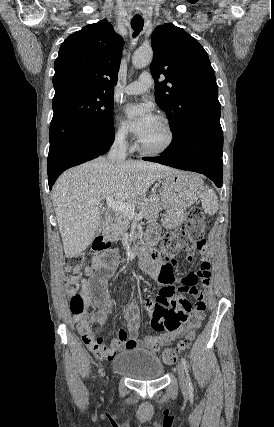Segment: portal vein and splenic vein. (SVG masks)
Wrapping results in <instances>:
<instances>
[{"mask_svg": "<svg viewBox=\"0 0 274 427\" xmlns=\"http://www.w3.org/2000/svg\"><path fill=\"white\" fill-rule=\"evenodd\" d=\"M106 204L108 208L114 210V212H120V214L128 215V217H137V219H142L143 214H136L134 204H124V202H115L111 198H107Z\"/></svg>", "mask_w": 274, "mask_h": 427, "instance_id": "obj_1", "label": "portal vein and splenic vein"}]
</instances>
